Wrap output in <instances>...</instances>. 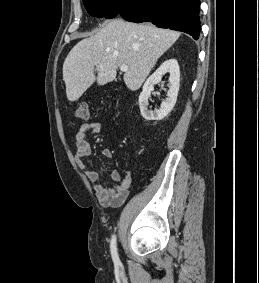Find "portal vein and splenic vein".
<instances>
[{
  "mask_svg": "<svg viewBox=\"0 0 259 283\" xmlns=\"http://www.w3.org/2000/svg\"><path fill=\"white\" fill-rule=\"evenodd\" d=\"M128 66L127 65H121L120 66V70L122 71V72H126V71H128Z\"/></svg>",
  "mask_w": 259,
  "mask_h": 283,
  "instance_id": "obj_1",
  "label": "portal vein and splenic vein"
}]
</instances>
